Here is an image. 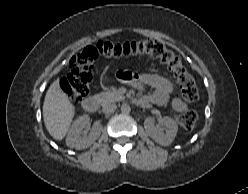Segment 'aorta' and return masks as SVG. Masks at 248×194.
Masks as SVG:
<instances>
[{
    "label": "aorta",
    "instance_id": "aorta-1",
    "mask_svg": "<svg viewBox=\"0 0 248 194\" xmlns=\"http://www.w3.org/2000/svg\"><path fill=\"white\" fill-rule=\"evenodd\" d=\"M130 111H131V108H130V106L128 104H123L121 106V112L122 113L128 114V113H130Z\"/></svg>",
    "mask_w": 248,
    "mask_h": 194
}]
</instances>
